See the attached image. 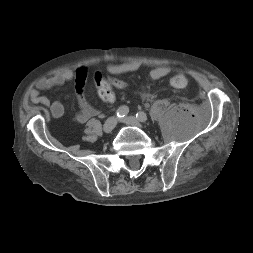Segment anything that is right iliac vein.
<instances>
[{"mask_svg":"<svg viewBox=\"0 0 253 253\" xmlns=\"http://www.w3.org/2000/svg\"><path fill=\"white\" fill-rule=\"evenodd\" d=\"M116 123H117L116 117L114 116L109 117L103 125V131L105 133H110L115 127Z\"/></svg>","mask_w":253,"mask_h":253,"instance_id":"1","label":"right iliac vein"}]
</instances>
